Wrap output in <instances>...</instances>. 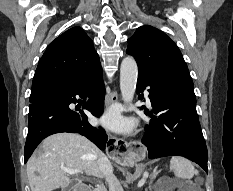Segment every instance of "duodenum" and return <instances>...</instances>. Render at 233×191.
I'll use <instances>...</instances> for the list:
<instances>
[{"mask_svg": "<svg viewBox=\"0 0 233 191\" xmlns=\"http://www.w3.org/2000/svg\"><path fill=\"white\" fill-rule=\"evenodd\" d=\"M74 191H92L89 186L80 185L74 189Z\"/></svg>", "mask_w": 233, "mask_h": 191, "instance_id": "duodenum-1", "label": "duodenum"}]
</instances>
